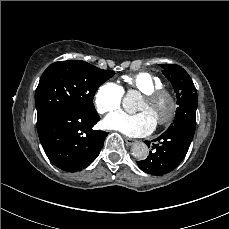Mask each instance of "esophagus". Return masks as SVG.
I'll use <instances>...</instances> for the list:
<instances>
[{"instance_id": "34e87169", "label": "esophagus", "mask_w": 229, "mask_h": 229, "mask_svg": "<svg viewBox=\"0 0 229 229\" xmlns=\"http://www.w3.org/2000/svg\"><path fill=\"white\" fill-rule=\"evenodd\" d=\"M125 142H126L127 145H134L135 143L138 142V140L134 139V138H126Z\"/></svg>"}]
</instances>
